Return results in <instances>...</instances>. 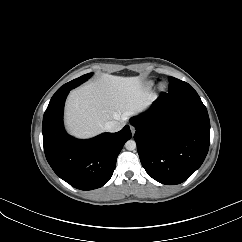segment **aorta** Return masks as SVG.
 <instances>
[{"mask_svg": "<svg viewBox=\"0 0 242 242\" xmlns=\"http://www.w3.org/2000/svg\"><path fill=\"white\" fill-rule=\"evenodd\" d=\"M125 147L127 150H135L136 149V142L134 140H128L126 143H125Z\"/></svg>", "mask_w": 242, "mask_h": 242, "instance_id": "aorta-1", "label": "aorta"}]
</instances>
